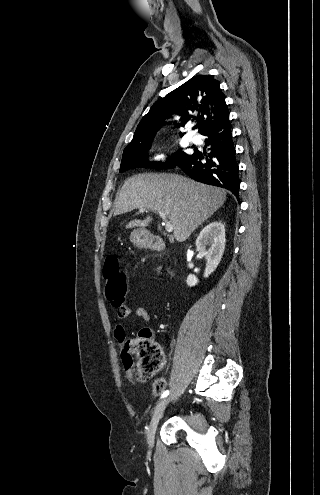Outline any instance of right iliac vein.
I'll return each mask as SVG.
<instances>
[{
  "label": "right iliac vein",
  "mask_w": 320,
  "mask_h": 495,
  "mask_svg": "<svg viewBox=\"0 0 320 495\" xmlns=\"http://www.w3.org/2000/svg\"><path fill=\"white\" fill-rule=\"evenodd\" d=\"M169 403V398L162 400L155 408L149 429L147 434V442L150 448L154 445L155 433L157 430L158 423L163 416V413Z\"/></svg>",
  "instance_id": "obj_1"
}]
</instances>
